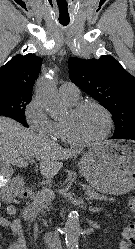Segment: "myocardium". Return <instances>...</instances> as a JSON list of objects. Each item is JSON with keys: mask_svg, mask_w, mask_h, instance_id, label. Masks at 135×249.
Segmentation results:
<instances>
[{"mask_svg": "<svg viewBox=\"0 0 135 249\" xmlns=\"http://www.w3.org/2000/svg\"><path fill=\"white\" fill-rule=\"evenodd\" d=\"M88 107H95V108L99 109L104 114L105 119H106V130L100 137H98L96 139L82 140V139H79L78 137H76L74 135L70 125L64 122L65 130H66V134H67V137L69 139V142L74 144V145H77V146H83V147L95 146V145L103 142L106 138H108V136L110 135V133L112 131V125H113L112 115H111L110 111L99 102L82 101V102H79V103H76L75 105H73L71 108V111H72V113L77 114Z\"/></svg>", "mask_w": 135, "mask_h": 249, "instance_id": "f54148a6", "label": "myocardium"}]
</instances>
